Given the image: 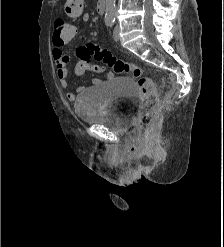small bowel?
<instances>
[{
	"mask_svg": "<svg viewBox=\"0 0 224 247\" xmlns=\"http://www.w3.org/2000/svg\"><path fill=\"white\" fill-rule=\"evenodd\" d=\"M65 11L71 17H81L82 22L86 23L90 20V15L83 12V0H66ZM54 49L52 52L53 59L57 67V76L62 88H67L69 86L68 70L66 64L69 60V55L65 53L62 47L66 42H61L59 40L53 39ZM81 72V68L77 70ZM66 98L69 101L75 100V95L71 92L66 94Z\"/></svg>",
	"mask_w": 224,
	"mask_h": 247,
	"instance_id": "1",
	"label": "small bowel"
}]
</instances>
